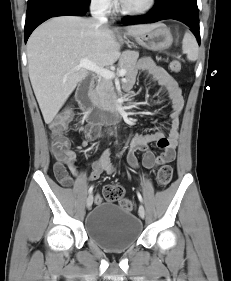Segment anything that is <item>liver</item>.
Instances as JSON below:
<instances>
[{
	"label": "liver",
	"instance_id": "liver-1",
	"mask_svg": "<svg viewBox=\"0 0 231 281\" xmlns=\"http://www.w3.org/2000/svg\"><path fill=\"white\" fill-rule=\"evenodd\" d=\"M158 24L125 28L128 35L146 33ZM115 31L95 19L54 17L40 25L27 42L28 72L45 123L50 124L77 84L88 74L81 59L99 67L114 64L120 56Z\"/></svg>",
	"mask_w": 231,
	"mask_h": 281
}]
</instances>
